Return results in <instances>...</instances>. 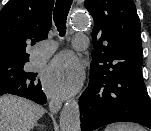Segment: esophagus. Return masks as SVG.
Segmentation results:
<instances>
[{
    "mask_svg": "<svg viewBox=\"0 0 151 131\" xmlns=\"http://www.w3.org/2000/svg\"><path fill=\"white\" fill-rule=\"evenodd\" d=\"M62 106V101L58 98H52L49 101V109L53 113H57Z\"/></svg>",
    "mask_w": 151,
    "mask_h": 131,
    "instance_id": "34e87169",
    "label": "esophagus"
}]
</instances>
